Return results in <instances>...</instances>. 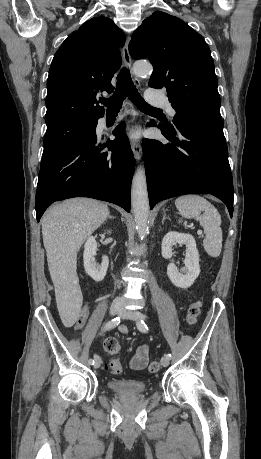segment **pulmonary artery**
Listing matches in <instances>:
<instances>
[{
    "label": "pulmonary artery",
    "mask_w": 261,
    "mask_h": 459,
    "mask_svg": "<svg viewBox=\"0 0 261 459\" xmlns=\"http://www.w3.org/2000/svg\"><path fill=\"white\" fill-rule=\"evenodd\" d=\"M146 98L147 100L155 105V106H160V107H164L166 108L167 112L169 113L170 116H174L175 115V110L171 107L170 103L168 102V100L152 91H148L146 93ZM106 122V119L103 118L101 120V124H104Z\"/></svg>",
    "instance_id": "obj_1"
}]
</instances>
